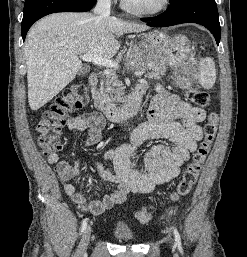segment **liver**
<instances>
[{"instance_id": "6515ba94", "label": "liver", "mask_w": 247, "mask_h": 257, "mask_svg": "<svg viewBox=\"0 0 247 257\" xmlns=\"http://www.w3.org/2000/svg\"><path fill=\"white\" fill-rule=\"evenodd\" d=\"M147 29L145 25L91 13H54L38 21L24 46L31 110L40 109L75 78L82 69L78 55L110 59L120 48L121 35Z\"/></svg>"}]
</instances>
